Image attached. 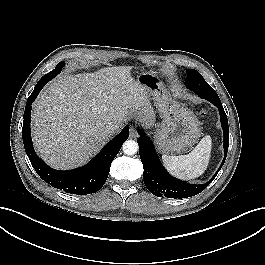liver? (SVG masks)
<instances>
[{
	"mask_svg": "<svg viewBox=\"0 0 265 265\" xmlns=\"http://www.w3.org/2000/svg\"><path fill=\"white\" fill-rule=\"evenodd\" d=\"M150 126L154 112L131 67L101 68L59 77L39 94L32 111V139L41 158L55 169H72L98 153L126 121Z\"/></svg>",
	"mask_w": 265,
	"mask_h": 265,
	"instance_id": "obj_1",
	"label": "liver"
}]
</instances>
